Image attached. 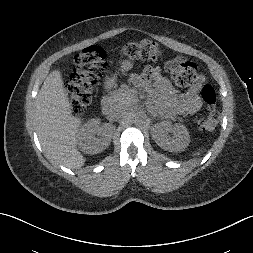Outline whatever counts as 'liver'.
<instances>
[{
	"instance_id": "1",
	"label": "liver",
	"mask_w": 253,
	"mask_h": 253,
	"mask_svg": "<svg viewBox=\"0 0 253 253\" xmlns=\"http://www.w3.org/2000/svg\"><path fill=\"white\" fill-rule=\"evenodd\" d=\"M136 94L134 89L127 91V97L122 101L126 110L136 98ZM71 107L61 72L54 70L47 76L39 91L33 122L43 152L49 161L79 169L85 163V158L76 148V136L82 120L79 116L72 115Z\"/></svg>"
}]
</instances>
